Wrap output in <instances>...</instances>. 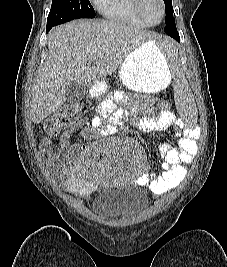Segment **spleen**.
Wrapping results in <instances>:
<instances>
[{
	"label": "spleen",
	"mask_w": 227,
	"mask_h": 267,
	"mask_svg": "<svg viewBox=\"0 0 227 267\" xmlns=\"http://www.w3.org/2000/svg\"><path fill=\"white\" fill-rule=\"evenodd\" d=\"M173 36H153L154 47H163V55H178L180 46L178 42L173 41ZM174 72L173 81H190V76H185V67H172ZM175 93L173 98H186V100H173V105H194V93H190L191 82H172ZM178 115H197L196 106H175ZM182 125L186 129H199V116H180Z\"/></svg>",
	"instance_id": "1"
}]
</instances>
